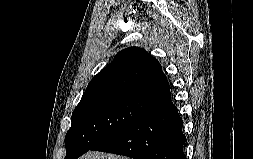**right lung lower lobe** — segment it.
<instances>
[{"label": "right lung lower lobe", "instance_id": "98d812e1", "mask_svg": "<svg viewBox=\"0 0 253 159\" xmlns=\"http://www.w3.org/2000/svg\"><path fill=\"white\" fill-rule=\"evenodd\" d=\"M183 121L171 98L93 149L134 159H186Z\"/></svg>", "mask_w": 253, "mask_h": 159}]
</instances>
